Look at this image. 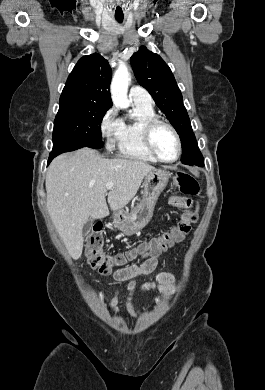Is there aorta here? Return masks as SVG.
Returning a JSON list of instances; mask_svg holds the SVG:
<instances>
[{"mask_svg":"<svg viewBox=\"0 0 265 390\" xmlns=\"http://www.w3.org/2000/svg\"><path fill=\"white\" fill-rule=\"evenodd\" d=\"M130 81L131 76L128 67L125 64H120L111 82V97L113 103L122 109L128 108L130 105L127 96Z\"/></svg>","mask_w":265,"mask_h":390,"instance_id":"aorta-1","label":"aorta"}]
</instances>
